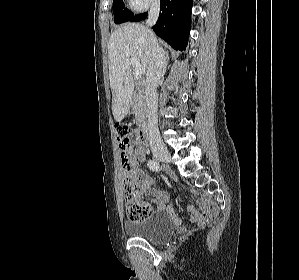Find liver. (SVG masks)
<instances>
[{"mask_svg": "<svg viewBox=\"0 0 299 280\" xmlns=\"http://www.w3.org/2000/svg\"><path fill=\"white\" fill-rule=\"evenodd\" d=\"M131 58H135L147 71L151 60L150 32L139 23H129L115 30L108 42L112 113L117 122L124 119L132 105L134 84Z\"/></svg>", "mask_w": 299, "mask_h": 280, "instance_id": "6515ba94", "label": "liver"}]
</instances>
